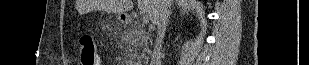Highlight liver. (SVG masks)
<instances>
[{"mask_svg": "<svg viewBox=\"0 0 309 65\" xmlns=\"http://www.w3.org/2000/svg\"><path fill=\"white\" fill-rule=\"evenodd\" d=\"M165 0H138V7L146 12L152 23L156 24L164 8ZM79 11L99 10L122 15L133 8L132 0H81L78 2Z\"/></svg>", "mask_w": 309, "mask_h": 65, "instance_id": "liver-1", "label": "liver"}]
</instances>
